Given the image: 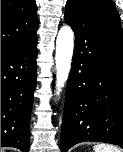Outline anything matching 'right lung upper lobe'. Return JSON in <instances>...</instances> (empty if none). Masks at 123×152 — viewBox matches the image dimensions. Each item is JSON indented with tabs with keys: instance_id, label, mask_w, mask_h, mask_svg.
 I'll use <instances>...</instances> for the list:
<instances>
[{
	"instance_id": "right-lung-upper-lobe-1",
	"label": "right lung upper lobe",
	"mask_w": 123,
	"mask_h": 152,
	"mask_svg": "<svg viewBox=\"0 0 123 152\" xmlns=\"http://www.w3.org/2000/svg\"><path fill=\"white\" fill-rule=\"evenodd\" d=\"M35 0H1V50L30 42L39 26Z\"/></svg>"
}]
</instances>
